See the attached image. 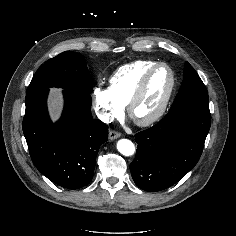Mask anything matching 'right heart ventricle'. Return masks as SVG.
Returning <instances> with one entry per match:
<instances>
[{"instance_id":"e07e8e85","label":"right heart ventricle","mask_w":236,"mask_h":236,"mask_svg":"<svg viewBox=\"0 0 236 236\" xmlns=\"http://www.w3.org/2000/svg\"><path fill=\"white\" fill-rule=\"evenodd\" d=\"M157 62L138 60L120 67L109 80V90L125 106L145 72Z\"/></svg>"}]
</instances>
